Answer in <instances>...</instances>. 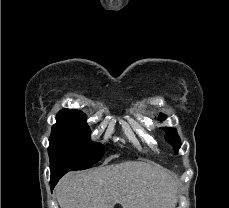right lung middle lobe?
Segmentation results:
<instances>
[{"label":"right lung middle lobe","instance_id":"dd1d6c3e","mask_svg":"<svg viewBox=\"0 0 229 208\" xmlns=\"http://www.w3.org/2000/svg\"><path fill=\"white\" fill-rule=\"evenodd\" d=\"M90 133L86 118L57 114L48 148L51 175L87 169L102 158L104 149Z\"/></svg>","mask_w":229,"mask_h":208}]
</instances>
